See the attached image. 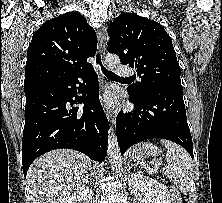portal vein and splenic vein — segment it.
<instances>
[{"instance_id":"portal-vein-and-splenic-vein-1","label":"portal vein and splenic vein","mask_w":222,"mask_h":203,"mask_svg":"<svg viewBox=\"0 0 222 203\" xmlns=\"http://www.w3.org/2000/svg\"><path fill=\"white\" fill-rule=\"evenodd\" d=\"M160 164H161V162H158V163L155 165V167H154V169H153V172H155V171L158 169V167H159ZM148 170L150 171L151 169L148 168Z\"/></svg>"}]
</instances>
